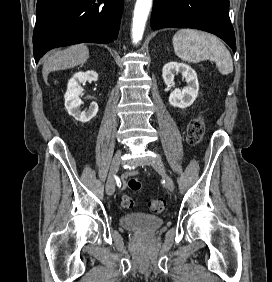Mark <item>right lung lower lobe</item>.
<instances>
[{"label":"right lung lower lobe","instance_id":"98d812e1","mask_svg":"<svg viewBox=\"0 0 272 282\" xmlns=\"http://www.w3.org/2000/svg\"><path fill=\"white\" fill-rule=\"evenodd\" d=\"M124 0H38L33 33L36 63L50 49L117 39Z\"/></svg>","mask_w":272,"mask_h":282}]
</instances>
